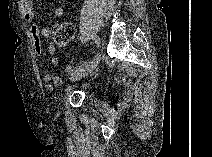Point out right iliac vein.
Masks as SVG:
<instances>
[{
	"label": "right iliac vein",
	"mask_w": 212,
	"mask_h": 157,
	"mask_svg": "<svg viewBox=\"0 0 212 157\" xmlns=\"http://www.w3.org/2000/svg\"><path fill=\"white\" fill-rule=\"evenodd\" d=\"M99 61H100V55L99 53H97L94 60L90 64H88L85 68H83L81 71L75 74V76L73 77V81L80 80L81 78L86 77L90 73H92L93 70L97 67Z\"/></svg>",
	"instance_id": "1"
}]
</instances>
